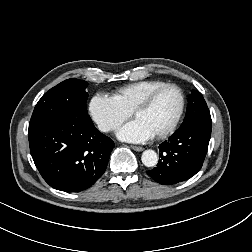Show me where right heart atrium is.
Instances as JSON below:
<instances>
[{"label": "right heart atrium", "mask_w": 252, "mask_h": 252, "mask_svg": "<svg viewBox=\"0 0 252 252\" xmlns=\"http://www.w3.org/2000/svg\"><path fill=\"white\" fill-rule=\"evenodd\" d=\"M88 112L92 121L105 133L115 131L130 117V112L122 108L111 96L95 93L89 100Z\"/></svg>", "instance_id": "obj_1"}]
</instances>
